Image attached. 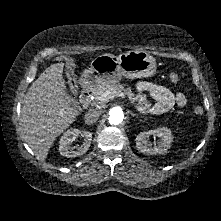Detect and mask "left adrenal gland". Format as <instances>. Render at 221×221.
Listing matches in <instances>:
<instances>
[{"mask_svg":"<svg viewBox=\"0 0 221 221\" xmlns=\"http://www.w3.org/2000/svg\"><path fill=\"white\" fill-rule=\"evenodd\" d=\"M130 115L132 116V117H138V114H136V113H130Z\"/></svg>","mask_w":221,"mask_h":221,"instance_id":"obj_1","label":"left adrenal gland"}]
</instances>
